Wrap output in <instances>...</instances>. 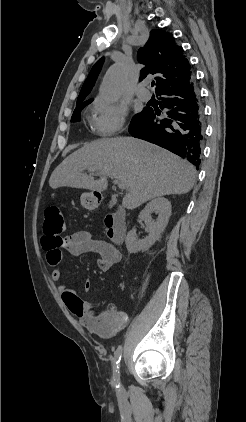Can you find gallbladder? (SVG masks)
I'll list each match as a JSON object with an SVG mask.
<instances>
[{
  "label": "gallbladder",
  "mask_w": 246,
  "mask_h": 422,
  "mask_svg": "<svg viewBox=\"0 0 246 422\" xmlns=\"http://www.w3.org/2000/svg\"><path fill=\"white\" fill-rule=\"evenodd\" d=\"M116 203H117L116 199H112L110 201L109 207H113L114 205H116Z\"/></svg>",
  "instance_id": "gallbladder-1"
}]
</instances>
